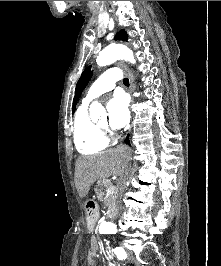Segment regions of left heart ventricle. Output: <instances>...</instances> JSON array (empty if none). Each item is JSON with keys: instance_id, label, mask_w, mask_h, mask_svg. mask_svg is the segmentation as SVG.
<instances>
[{"instance_id": "left-heart-ventricle-1", "label": "left heart ventricle", "mask_w": 221, "mask_h": 266, "mask_svg": "<svg viewBox=\"0 0 221 266\" xmlns=\"http://www.w3.org/2000/svg\"><path fill=\"white\" fill-rule=\"evenodd\" d=\"M100 125H102V126H107V120L105 119V120H103L102 122H100Z\"/></svg>"}]
</instances>
